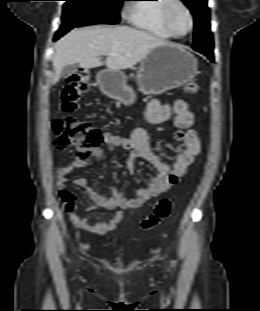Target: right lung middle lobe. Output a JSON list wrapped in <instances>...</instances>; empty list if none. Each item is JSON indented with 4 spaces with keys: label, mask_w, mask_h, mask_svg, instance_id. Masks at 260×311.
<instances>
[{
    "label": "right lung middle lobe",
    "mask_w": 260,
    "mask_h": 311,
    "mask_svg": "<svg viewBox=\"0 0 260 311\" xmlns=\"http://www.w3.org/2000/svg\"><path fill=\"white\" fill-rule=\"evenodd\" d=\"M60 31L93 24H116L125 0H64Z\"/></svg>",
    "instance_id": "obj_1"
}]
</instances>
